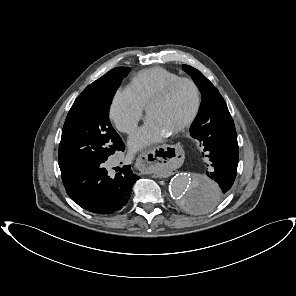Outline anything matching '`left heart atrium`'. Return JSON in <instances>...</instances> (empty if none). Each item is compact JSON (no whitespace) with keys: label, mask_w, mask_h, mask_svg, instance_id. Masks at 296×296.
Returning a JSON list of instances; mask_svg holds the SVG:
<instances>
[{"label":"left heart atrium","mask_w":296,"mask_h":296,"mask_svg":"<svg viewBox=\"0 0 296 296\" xmlns=\"http://www.w3.org/2000/svg\"><path fill=\"white\" fill-rule=\"evenodd\" d=\"M169 134V131L149 117L145 125L130 138L129 145L133 151H138L155 142L161 141Z\"/></svg>","instance_id":"left-heart-atrium-1"}]
</instances>
